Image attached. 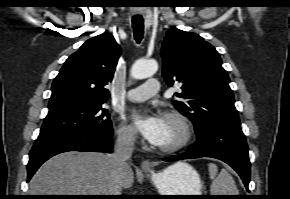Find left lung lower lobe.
I'll list each match as a JSON object with an SVG mask.
<instances>
[{"mask_svg": "<svg viewBox=\"0 0 290 199\" xmlns=\"http://www.w3.org/2000/svg\"><path fill=\"white\" fill-rule=\"evenodd\" d=\"M195 132L198 139L189 151L163 160L176 161L201 157L222 160L240 175L248 190L250 161L246 139L241 127L209 123L199 130L195 129Z\"/></svg>", "mask_w": 290, "mask_h": 199, "instance_id": "0a47b994", "label": "left lung lower lobe"}]
</instances>
